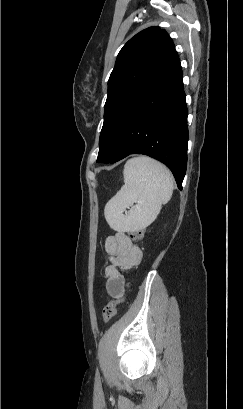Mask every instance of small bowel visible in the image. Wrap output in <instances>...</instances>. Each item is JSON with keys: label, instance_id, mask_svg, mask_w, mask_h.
Instances as JSON below:
<instances>
[{"label": "small bowel", "instance_id": "small-bowel-1", "mask_svg": "<svg viewBox=\"0 0 243 409\" xmlns=\"http://www.w3.org/2000/svg\"><path fill=\"white\" fill-rule=\"evenodd\" d=\"M105 251L111 263L105 268V287L107 293L116 298L123 294L125 285V278L120 270L137 265L141 261L142 251L122 231H117L105 240Z\"/></svg>", "mask_w": 243, "mask_h": 409}]
</instances>
